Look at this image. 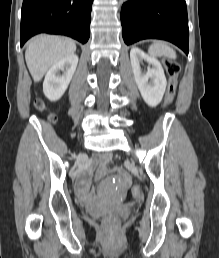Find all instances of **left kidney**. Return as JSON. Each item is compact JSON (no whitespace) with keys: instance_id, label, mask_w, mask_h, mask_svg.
Segmentation results:
<instances>
[{"instance_id":"1","label":"left kidney","mask_w":219,"mask_h":258,"mask_svg":"<svg viewBox=\"0 0 219 258\" xmlns=\"http://www.w3.org/2000/svg\"><path fill=\"white\" fill-rule=\"evenodd\" d=\"M131 66L137 87L144 101L151 107H156L163 98L166 90V77L160 62L137 47L130 51ZM146 61L152 68L142 72L140 63Z\"/></svg>"}]
</instances>
